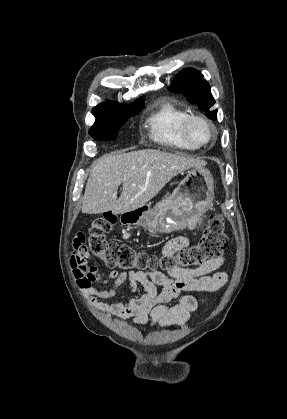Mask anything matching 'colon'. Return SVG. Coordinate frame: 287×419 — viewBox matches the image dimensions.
<instances>
[{"instance_id": "1", "label": "colon", "mask_w": 287, "mask_h": 419, "mask_svg": "<svg viewBox=\"0 0 287 419\" xmlns=\"http://www.w3.org/2000/svg\"><path fill=\"white\" fill-rule=\"evenodd\" d=\"M116 222L117 215L106 212L94 218L87 232L76 238L80 243L86 242L89 254L101 258L110 268L141 272H154L159 269L169 271L175 267L197 269L221 256L228 246L223 218L216 213L209 217L205 231L197 243L161 258L129 245L109 242L105 235Z\"/></svg>"}]
</instances>
